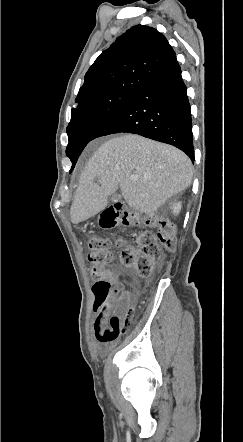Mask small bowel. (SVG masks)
Masks as SVG:
<instances>
[{"label":"small bowel","instance_id":"c3829d8e","mask_svg":"<svg viewBox=\"0 0 243 442\" xmlns=\"http://www.w3.org/2000/svg\"><path fill=\"white\" fill-rule=\"evenodd\" d=\"M132 303V295L126 291L122 292L120 296L114 299L113 305L95 308L93 310L96 314L93 323V330L96 340L103 346L107 347L112 341H102L101 335L105 332L110 324L109 316L113 312L114 314L123 312Z\"/></svg>","mask_w":243,"mask_h":442}]
</instances>
